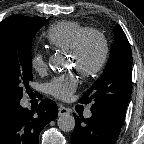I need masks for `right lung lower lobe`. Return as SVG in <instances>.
Segmentation results:
<instances>
[{"mask_svg": "<svg viewBox=\"0 0 144 144\" xmlns=\"http://www.w3.org/2000/svg\"><path fill=\"white\" fill-rule=\"evenodd\" d=\"M57 115L58 107L50 99L33 111L15 104L0 117V144H38L39 133Z\"/></svg>", "mask_w": 144, "mask_h": 144, "instance_id": "98d812e1", "label": "right lung lower lobe"}]
</instances>
